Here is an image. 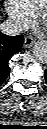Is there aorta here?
<instances>
[{"mask_svg":"<svg viewBox=\"0 0 47 129\" xmlns=\"http://www.w3.org/2000/svg\"><path fill=\"white\" fill-rule=\"evenodd\" d=\"M33 55L41 63L47 62V42L37 41L33 46Z\"/></svg>","mask_w":47,"mask_h":129,"instance_id":"aorta-1","label":"aorta"}]
</instances>
